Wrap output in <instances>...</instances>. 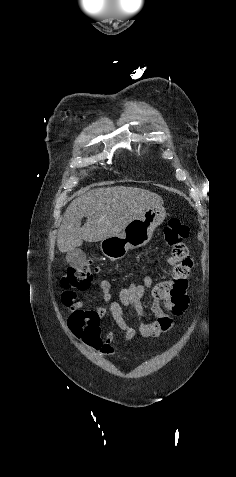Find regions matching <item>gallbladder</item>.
<instances>
[{
    "mask_svg": "<svg viewBox=\"0 0 236 477\" xmlns=\"http://www.w3.org/2000/svg\"><path fill=\"white\" fill-rule=\"evenodd\" d=\"M67 262L73 267H81L86 260V256L80 249H73L66 255Z\"/></svg>",
    "mask_w": 236,
    "mask_h": 477,
    "instance_id": "1",
    "label": "gallbladder"
}]
</instances>
